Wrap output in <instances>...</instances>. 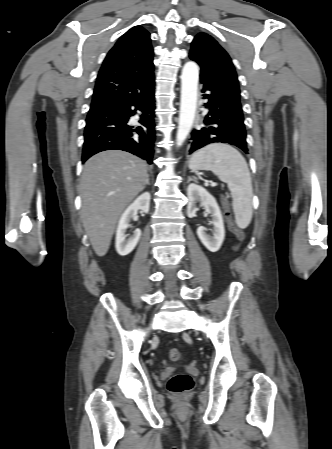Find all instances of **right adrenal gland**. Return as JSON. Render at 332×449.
Listing matches in <instances>:
<instances>
[{
    "label": "right adrenal gland",
    "instance_id": "2a0ac1e0",
    "mask_svg": "<svg viewBox=\"0 0 332 449\" xmlns=\"http://www.w3.org/2000/svg\"><path fill=\"white\" fill-rule=\"evenodd\" d=\"M150 184V182H149V175L147 176V181H146V184H145V186L146 185H149Z\"/></svg>",
    "mask_w": 332,
    "mask_h": 449
}]
</instances>
